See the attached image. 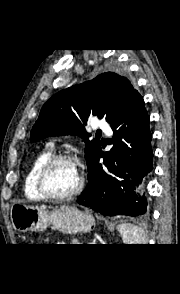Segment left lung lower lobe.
<instances>
[{"mask_svg": "<svg viewBox=\"0 0 180 294\" xmlns=\"http://www.w3.org/2000/svg\"><path fill=\"white\" fill-rule=\"evenodd\" d=\"M142 96L137 93L110 123L109 152L100 147L88 164V185L77 201L108 216H142L147 211L143 178L153 169L152 135ZM103 157V165L99 159Z\"/></svg>", "mask_w": 180, "mask_h": 294, "instance_id": "1", "label": "left lung lower lobe"}]
</instances>
